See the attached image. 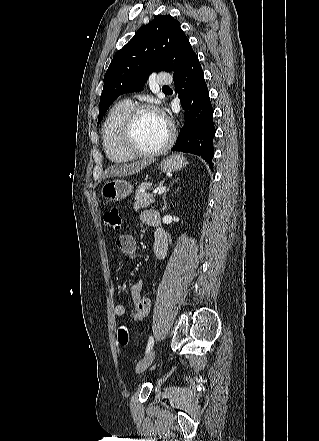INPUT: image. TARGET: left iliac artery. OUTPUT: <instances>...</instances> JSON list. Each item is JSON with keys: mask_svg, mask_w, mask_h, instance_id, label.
<instances>
[{"mask_svg": "<svg viewBox=\"0 0 319 441\" xmlns=\"http://www.w3.org/2000/svg\"><path fill=\"white\" fill-rule=\"evenodd\" d=\"M153 345H154V339L152 336H150L148 344H147V348H146V353H148L152 349Z\"/></svg>", "mask_w": 319, "mask_h": 441, "instance_id": "obj_1", "label": "left iliac artery"}]
</instances>
